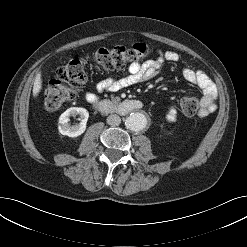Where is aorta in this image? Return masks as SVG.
<instances>
[{
	"label": "aorta",
	"instance_id": "obj_1",
	"mask_svg": "<svg viewBox=\"0 0 247 247\" xmlns=\"http://www.w3.org/2000/svg\"><path fill=\"white\" fill-rule=\"evenodd\" d=\"M125 125L132 131H140L147 126V118L143 113L134 112L126 118Z\"/></svg>",
	"mask_w": 247,
	"mask_h": 247
}]
</instances>
